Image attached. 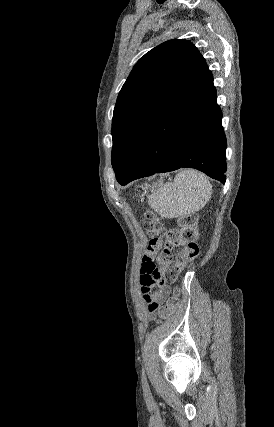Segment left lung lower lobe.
Here are the masks:
<instances>
[{"label": "left lung lower lobe", "instance_id": "0a47b994", "mask_svg": "<svg viewBox=\"0 0 274 427\" xmlns=\"http://www.w3.org/2000/svg\"><path fill=\"white\" fill-rule=\"evenodd\" d=\"M213 77L205 64L149 130L140 152L121 185L132 180L195 168L225 182L226 138L221 125Z\"/></svg>", "mask_w": 274, "mask_h": 427}]
</instances>
